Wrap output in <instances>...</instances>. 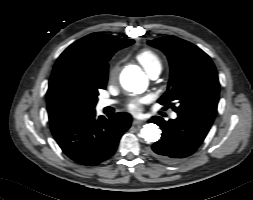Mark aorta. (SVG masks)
<instances>
[{"label": "aorta", "instance_id": "1", "mask_svg": "<svg viewBox=\"0 0 253 200\" xmlns=\"http://www.w3.org/2000/svg\"><path fill=\"white\" fill-rule=\"evenodd\" d=\"M121 84L126 90L140 94L146 90L148 78L139 69L132 68L122 74ZM141 136L148 143L156 142L161 137V130L154 123L145 124L141 129Z\"/></svg>", "mask_w": 253, "mask_h": 200}]
</instances>
